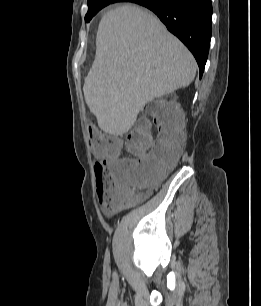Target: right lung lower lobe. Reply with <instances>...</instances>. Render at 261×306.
I'll return each mask as SVG.
<instances>
[{
	"instance_id": "98d812e1",
	"label": "right lung lower lobe",
	"mask_w": 261,
	"mask_h": 306,
	"mask_svg": "<svg viewBox=\"0 0 261 306\" xmlns=\"http://www.w3.org/2000/svg\"><path fill=\"white\" fill-rule=\"evenodd\" d=\"M153 11L194 55L203 74L211 38V0H132Z\"/></svg>"
}]
</instances>
